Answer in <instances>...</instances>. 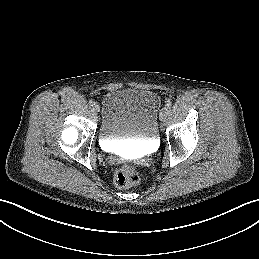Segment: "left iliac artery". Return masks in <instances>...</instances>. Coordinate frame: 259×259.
Masks as SVG:
<instances>
[{"instance_id":"1","label":"left iliac artery","mask_w":259,"mask_h":259,"mask_svg":"<svg viewBox=\"0 0 259 259\" xmlns=\"http://www.w3.org/2000/svg\"><path fill=\"white\" fill-rule=\"evenodd\" d=\"M171 101H166L165 108L170 109Z\"/></svg>"}]
</instances>
